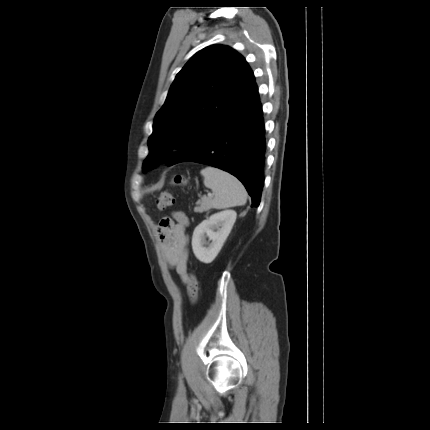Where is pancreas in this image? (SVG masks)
<instances>
[{
    "label": "pancreas",
    "instance_id": "1",
    "mask_svg": "<svg viewBox=\"0 0 430 430\" xmlns=\"http://www.w3.org/2000/svg\"><path fill=\"white\" fill-rule=\"evenodd\" d=\"M212 208L211 200L209 198H201L196 202V207L194 208V212L203 213L207 212Z\"/></svg>",
    "mask_w": 430,
    "mask_h": 430
}]
</instances>
